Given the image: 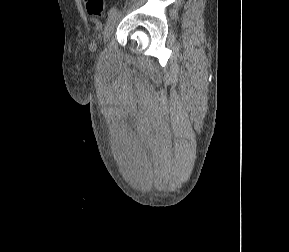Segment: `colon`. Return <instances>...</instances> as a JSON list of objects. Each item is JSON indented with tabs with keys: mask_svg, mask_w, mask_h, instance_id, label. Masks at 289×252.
Listing matches in <instances>:
<instances>
[{
	"mask_svg": "<svg viewBox=\"0 0 289 252\" xmlns=\"http://www.w3.org/2000/svg\"><path fill=\"white\" fill-rule=\"evenodd\" d=\"M84 4L90 15L99 16L104 11V0H84Z\"/></svg>",
	"mask_w": 289,
	"mask_h": 252,
	"instance_id": "1",
	"label": "colon"
}]
</instances>
